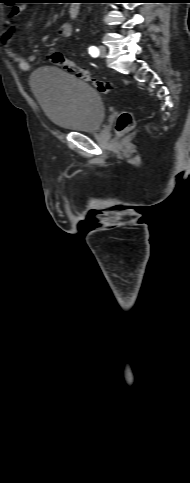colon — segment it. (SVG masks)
<instances>
[{
  "label": "colon",
  "instance_id": "obj_1",
  "mask_svg": "<svg viewBox=\"0 0 190 483\" xmlns=\"http://www.w3.org/2000/svg\"><path fill=\"white\" fill-rule=\"evenodd\" d=\"M47 60L57 66H60L65 72L75 73L81 80L91 83L100 93L109 94L112 91V84L102 80L94 79L90 72L81 69L77 64L66 58L59 50H51L46 55ZM135 126V119L131 112L123 111L116 123L118 133H126Z\"/></svg>",
  "mask_w": 190,
  "mask_h": 483
}]
</instances>
